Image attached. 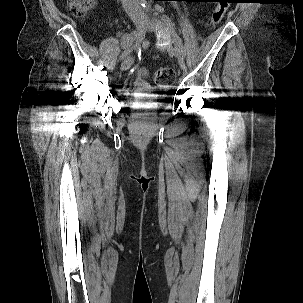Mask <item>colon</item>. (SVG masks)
Wrapping results in <instances>:
<instances>
[{"mask_svg": "<svg viewBox=\"0 0 303 303\" xmlns=\"http://www.w3.org/2000/svg\"><path fill=\"white\" fill-rule=\"evenodd\" d=\"M96 4V0H68V7L70 11L76 15H84L89 12ZM228 9L227 0H219L217 6L214 8L209 19L210 26H216L224 17ZM154 85L160 88H167L174 84L175 74L172 69L168 67L159 68L152 76Z\"/></svg>", "mask_w": 303, "mask_h": 303, "instance_id": "5ec220e1", "label": "colon"}]
</instances>
